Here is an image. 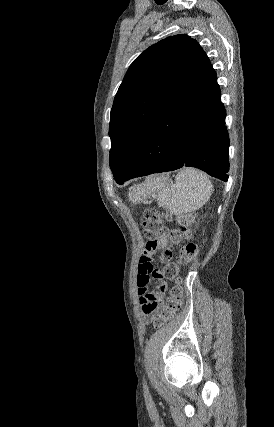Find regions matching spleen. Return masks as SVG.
<instances>
[{
	"mask_svg": "<svg viewBox=\"0 0 274 427\" xmlns=\"http://www.w3.org/2000/svg\"><path fill=\"white\" fill-rule=\"evenodd\" d=\"M141 188L150 190L153 198H158L166 212L174 215L190 214L202 208L212 194V184L206 174L195 168H183L175 178V184H166L160 178L147 180ZM141 188L131 192L133 202L142 200ZM157 192V196L155 194Z\"/></svg>",
	"mask_w": 274,
	"mask_h": 427,
	"instance_id": "3e777b00",
	"label": "spleen"
}]
</instances>
